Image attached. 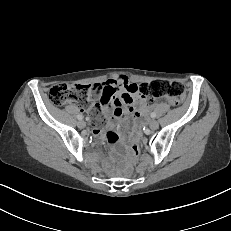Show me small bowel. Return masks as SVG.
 <instances>
[{
	"mask_svg": "<svg viewBox=\"0 0 231 231\" xmlns=\"http://www.w3.org/2000/svg\"><path fill=\"white\" fill-rule=\"evenodd\" d=\"M90 86L93 99H98L104 105V113L110 118L105 131L100 124H92L93 133L99 138H105L111 144L119 140L116 130L117 120L124 113H135L137 118L147 114L148 107L138 94V85L129 82L123 74Z\"/></svg>",
	"mask_w": 231,
	"mask_h": 231,
	"instance_id": "c3829d8e",
	"label": "small bowel"
}]
</instances>
